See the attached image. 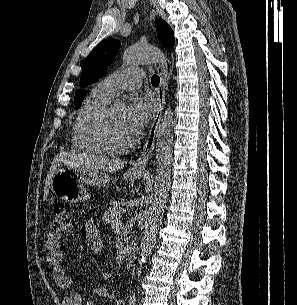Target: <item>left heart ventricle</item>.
Listing matches in <instances>:
<instances>
[{
  "label": "left heart ventricle",
  "mask_w": 297,
  "mask_h": 305,
  "mask_svg": "<svg viewBox=\"0 0 297 305\" xmlns=\"http://www.w3.org/2000/svg\"><path fill=\"white\" fill-rule=\"evenodd\" d=\"M123 110L112 108L108 119V137L112 144L123 146L133 138L123 123Z\"/></svg>",
  "instance_id": "1"
}]
</instances>
